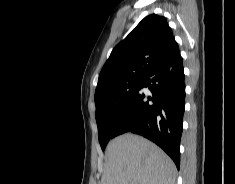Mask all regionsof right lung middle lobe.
Segmentation results:
<instances>
[{
  "mask_svg": "<svg viewBox=\"0 0 235 184\" xmlns=\"http://www.w3.org/2000/svg\"><path fill=\"white\" fill-rule=\"evenodd\" d=\"M143 80L111 88L107 92L108 102L96 107L99 143L105 149L110 139L116 137L115 131L134 96L140 91Z\"/></svg>",
  "mask_w": 235,
  "mask_h": 184,
  "instance_id": "dd1d6c3e",
  "label": "right lung middle lobe"
}]
</instances>
